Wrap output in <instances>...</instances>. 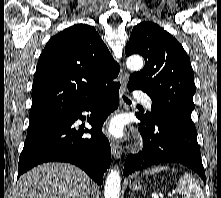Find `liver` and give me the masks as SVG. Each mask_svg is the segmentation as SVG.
I'll list each match as a JSON object with an SVG mask.
<instances>
[{
    "label": "liver",
    "instance_id": "obj_1",
    "mask_svg": "<svg viewBox=\"0 0 221 198\" xmlns=\"http://www.w3.org/2000/svg\"><path fill=\"white\" fill-rule=\"evenodd\" d=\"M90 178L74 165L45 163L23 175L11 198H89Z\"/></svg>",
    "mask_w": 221,
    "mask_h": 198
}]
</instances>
